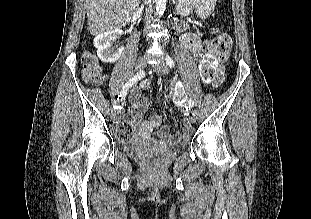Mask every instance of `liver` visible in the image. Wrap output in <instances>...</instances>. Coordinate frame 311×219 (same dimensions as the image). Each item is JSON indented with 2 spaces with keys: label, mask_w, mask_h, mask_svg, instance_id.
I'll return each mask as SVG.
<instances>
[{
  "label": "liver",
  "mask_w": 311,
  "mask_h": 219,
  "mask_svg": "<svg viewBox=\"0 0 311 219\" xmlns=\"http://www.w3.org/2000/svg\"><path fill=\"white\" fill-rule=\"evenodd\" d=\"M140 0H85L91 35L122 28L135 15Z\"/></svg>",
  "instance_id": "liver-1"
}]
</instances>
